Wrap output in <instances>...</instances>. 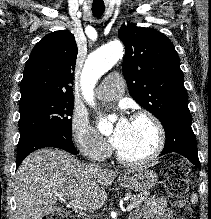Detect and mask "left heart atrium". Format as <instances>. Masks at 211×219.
<instances>
[{
	"label": "left heart atrium",
	"mask_w": 211,
	"mask_h": 219,
	"mask_svg": "<svg viewBox=\"0 0 211 219\" xmlns=\"http://www.w3.org/2000/svg\"><path fill=\"white\" fill-rule=\"evenodd\" d=\"M131 128V121L125 117H121L116 123L112 134L109 138L110 143L116 149H119L124 143L126 137L128 136Z\"/></svg>",
	"instance_id": "obj_1"
}]
</instances>
